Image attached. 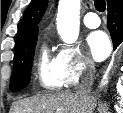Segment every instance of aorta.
<instances>
[{
	"label": "aorta",
	"mask_w": 123,
	"mask_h": 113,
	"mask_svg": "<svg viewBox=\"0 0 123 113\" xmlns=\"http://www.w3.org/2000/svg\"><path fill=\"white\" fill-rule=\"evenodd\" d=\"M80 0H60L57 14V30L61 39L74 43L79 36Z\"/></svg>",
	"instance_id": "762f6f07"
}]
</instances>
